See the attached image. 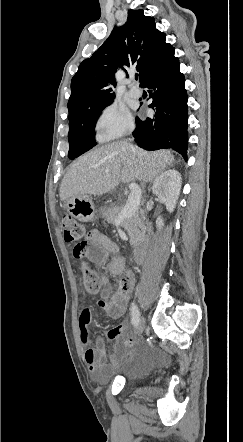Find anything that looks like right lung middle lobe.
Returning a JSON list of instances; mask_svg holds the SVG:
<instances>
[{
  "label": "right lung middle lobe",
  "mask_w": 243,
  "mask_h": 442,
  "mask_svg": "<svg viewBox=\"0 0 243 442\" xmlns=\"http://www.w3.org/2000/svg\"><path fill=\"white\" fill-rule=\"evenodd\" d=\"M112 102L113 100L69 120L68 157L70 159L80 156L97 144L94 135L97 118L100 112Z\"/></svg>",
  "instance_id": "right-lung-middle-lobe-1"
}]
</instances>
